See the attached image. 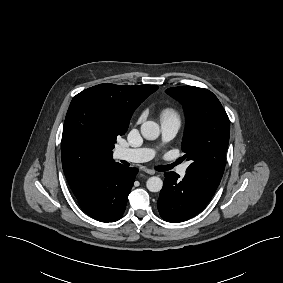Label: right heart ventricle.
I'll return each mask as SVG.
<instances>
[{
	"instance_id": "obj_1",
	"label": "right heart ventricle",
	"mask_w": 283,
	"mask_h": 283,
	"mask_svg": "<svg viewBox=\"0 0 283 283\" xmlns=\"http://www.w3.org/2000/svg\"><path fill=\"white\" fill-rule=\"evenodd\" d=\"M161 120H177L178 121V113L175 109L169 107L162 110L160 114Z\"/></svg>"
}]
</instances>
